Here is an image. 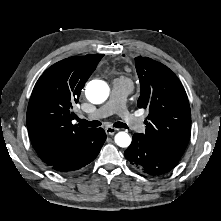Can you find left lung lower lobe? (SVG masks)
<instances>
[{"mask_svg":"<svg viewBox=\"0 0 221 221\" xmlns=\"http://www.w3.org/2000/svg\"><path fill=\"white\" fill-rule=\"evenodd\" d=\"M124 155L137 170L150 176L168 173L180 160L147 141L139 133L134 134L132 143Z\"/></svg>","mask_w":221,"mask_h":221,"instance_id":"obj_1","label":"left lung lower lobe"}]
</instances>
